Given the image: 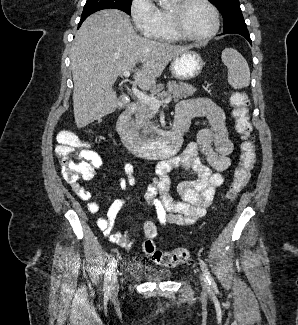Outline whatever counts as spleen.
<instances>
[{"instance_id":"obj_1","label":"spleen","mask_w":298,"mask_h":325,"mask_svg":"<svg viewBox=\"0 0 298 325\" xmlns=\"http://www.w3.org/2000/svg\"><path fill=\"white\" fill-rule=\"evenodd\" d=\"M221 58L228 68L227 80L230 86H233V88L249 86L250 68L241 52H238L235 48H224Z\"/></svg>"}]
</instances>
